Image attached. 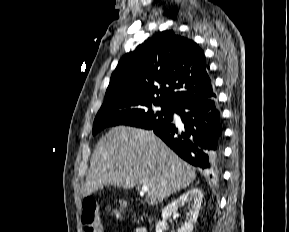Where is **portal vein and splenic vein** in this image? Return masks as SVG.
<instances>
[{
    "instance_id": "obj_1",
    "label": "portal vein and splenic vein",
    "mask_w": 289,
    "mask_h": 232,
    "mask_svg": "<svg viewBox=\"0 0 289 232\" xmlns=\"http://www.w3.org/2000/svg\"><path fill=\"white\" fill-rule=\"evenodd\" d=\"M148 190H149V188L147 185H142V187H141L142 192H147Z\"/></svg>"
}]
</instances>
